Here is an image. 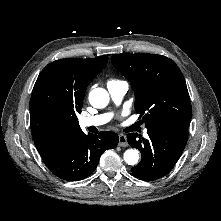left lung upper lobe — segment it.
<instances>
[{"label": "left lung upper lobe", "mask_w": 221, "mask_h": 221, "mask_svg": "<svg viewBox=\"0 0 221 221\" xmlns=\"http://www.w3.org/2000/svg\"><path fill=\"white\" fill-rule=\"evenodd\" d=\"M113 66L125 75L135 92V110L145 126L176 124L189 127L192 108L178 66L162 55H113Z\"/></svg>", "instance_id": "1"}]
</instances>
